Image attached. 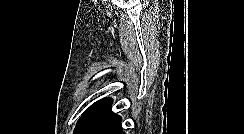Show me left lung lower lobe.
<instances>
[{"label":"left lung lower lobe","mask_w":244,"mask_h":134,"mask_svg":"<svg viewBox=\"0 0 244 134\" xmlns=\"http://www.w3.org/2000/svg\"><path fill=\"white\" fill-rule=\"evenodd\" d=\"M121 121L119 115H114L104 122L94 134H125L122 131Z\"/></svg>","instance_id":"0a47b994"}]
</instances>
